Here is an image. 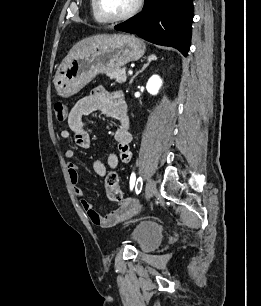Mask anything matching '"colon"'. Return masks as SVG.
Masks as SVG:
<instances>
[{"label": "colon", "instance_id": "1", "mask_svg": "<svg viewBox=\"0 0 261 306\" xmlns=\"http://www.w3.org/2000/svg\"><path fill=\"white\" fill-rule=\"evenodd\" d=\"M54 113L58 122H63L67 116V107L61 102L54 105ZM106 192L110 200L120 202L123 200V194L119 186V179L116 172H109L106 175Z\"/></svg>", "mask_w": 261, "mask_h": 306}]
</instances>
